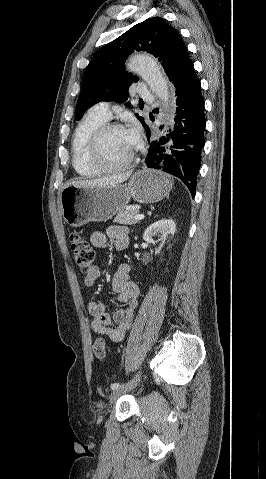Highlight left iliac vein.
Wrapping results in <instances>:
<instances>
[{"label":"left iliac vein","instance_id":"obj_1","mask_svg":"<svg viewBox=\"0 0 266 479\" xmlns=\"http://www.w3.org/2000/svg\"><path fill=\"white\" fill-rule=\"evenodd\" d=\"M140 381V373H138L126 386V388H121L114 390L109 396V404H113L122 394L126 393L128 390L135 388Z\"/></svg>","mask_w":266,"mask_h":479}]
</instances>
